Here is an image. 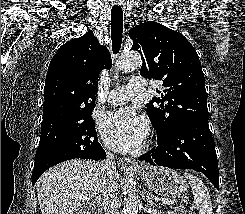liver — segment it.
<instances>
[{"label":"liver","mask_w":245,"mask_h":214,"mask_svg":"<svg viewBox=\"0 0 245 214\" xmlns=\"http://www.w3.org/2000/svg\"><path fill=\"white\" fill-rule=\"evenodd\" d=\"M112 178L117 182L119 174L116 172ZM107 179L99 163L89 160H70L54 166L36 184L41 214H74L81 207L77 195L103 199Z\"/></svg>","instance_id":"obj_1"}]
</instances>
